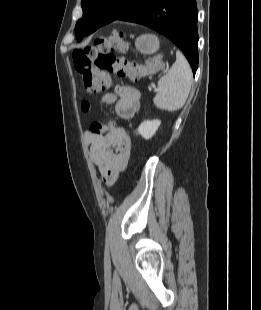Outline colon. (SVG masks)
Wrapping results in <instances>:
<instances>
[{
    "mask_svg": "<svg viewBox=\"0 0 261 310\" xmlns=\"http://www.w3.org/2000/svg\"><path fill=\"white\" fill-rule=\"evenodd\" d=\"M128 50L129 44L123 32L114 31L109 36L97 38L92 45L73 52L74 67L81 75L88 93L96 94L110 88L112 83L110 74L137 81L162 67L159 56L151 57L141 65L115 54ZM105 128L104 124L94 122L89 130L93 133H102Z\"/></svg>",
    "mask_w": 261,
    "mask_h": 310,
    "instance_id": "1",
    "label": "colon"
}]
</instances>
